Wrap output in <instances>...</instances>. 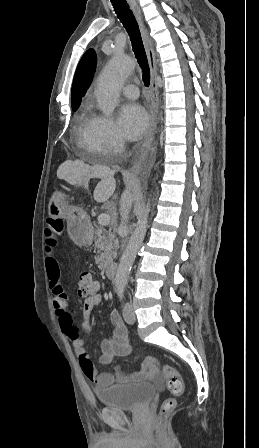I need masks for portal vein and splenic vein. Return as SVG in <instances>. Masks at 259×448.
Wrapping results in <instances>:
<instances>
[{
    "label": "portal vein and splenic vein",
    "mask_w": 259,
    "mask_h": 448,
    "mask_svg": "<svg viewBox=\"0 0 259 448\" xmlns=\"http://www.w3.org/2000/svg\"><path fill=\"white\" fill-rule=\"evenodd\" d=\"M99 224H101V226H108L109 222H110V216L109 214H100V216H98L97 218Z\"/></svg>",
    "instance_id": "portal-vein-and-splenic-vein-1"
}]
</instances>
